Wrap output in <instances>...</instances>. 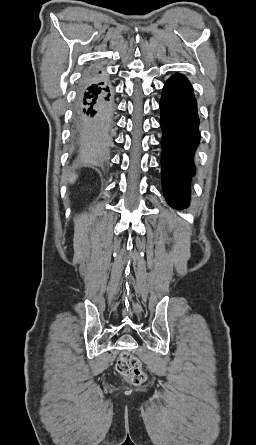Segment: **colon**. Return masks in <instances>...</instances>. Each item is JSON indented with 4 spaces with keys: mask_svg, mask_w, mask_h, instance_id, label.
Here are the masks:
<instances>
[{
    "mask_svg": "<svg viewBox=\"0 0 256 445\" xmlns=\"http://www.w3.org/2000/svg\"><path fill=\"white\" fill-rule=\"evenodd\" d=\"M116 371L134 385H141L146 379L139 359L129 352L120 354L116 363Z\"/></svg>",
    "mask_w": 256,
    "mask_h": 445,
    "instance_id": "obj_1",
    "label": "colon"
}]
</instances>
